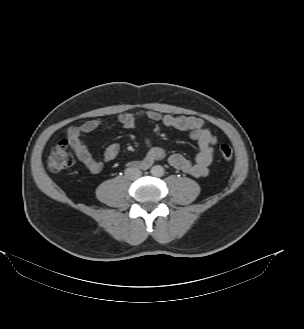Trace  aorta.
<instances>
[{
	"label": "aorta",
	"mask_w": 304,
	"mask_h": 329,
	"mask_svg": "<svg viewBox=\"0 0 304 329\" xmlns=\"http://www.w3.org/2000/svg\"><path fill=\"white\" fill-rule=\"evenodd\" d=\"M151 173L153 176L161 177L164 174V168L161 165H155L152 167Z\"/></svg>",
	"instance_id": "aorta-1"
}]
</instances>
